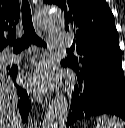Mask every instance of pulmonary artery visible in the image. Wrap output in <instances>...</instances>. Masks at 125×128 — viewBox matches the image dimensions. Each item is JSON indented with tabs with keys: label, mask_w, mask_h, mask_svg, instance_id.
Wrapping results in <instances>:
<instances>
[{
	"label": "pulmonary artery",
	"mask_w": 125,
	"mask_h": 128,
	"mask_svg": "<svg viewBox=\"0 0 125 128\" xmlns=\"http://www.w3.org/2000/svg\"><path fill=\"white\" fill-rule=\"evenodd\" d=\"M51 39H52L51 47L53 49L67 48L70 47L72 44V39L69 34H55L52 35ZM3 60L5 63L10 64V63L19 62L21 60V57L12 54H7L3 57Z\"/></svg>",
	"instance_id": "1"
}]
</instances>
